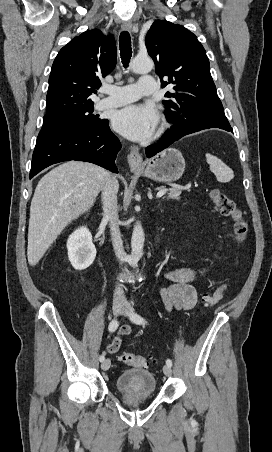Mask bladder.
Segmentation results:
<instances>
[{"label": "bladder", "mask_w": 272, "mask_h": 452, "mask_svg": "<svg viewBox=\"0 0 272 452\" xmlns=\"http://www.w3.org/2000/svg\"><path fill=\"white\" fill-rule=\"evenodd\" d=\"M115 386L120 392L126 394L153 395L156 392L157 382L151 371L135 368L123 371L116 378Z\"/></svg>", "instance_id": "obj_1"}]
</instances>
